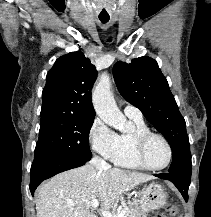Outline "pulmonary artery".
<instances>
[{"instance_id": "obj_1", "label": "pulmonary artery", "mask_w": 211, "mask_h": 217, "mask_svg": "<svg viewBox=\"0 0 211 217\" xmlns=\"http://www.w3.org/2000/svg\"><path fill=\"white\" fill-rule=\"evenodd\" d=\"M123 111L128 117L142 118L141 111L131 104H125Z\"/></svg>"}]
</instances>
